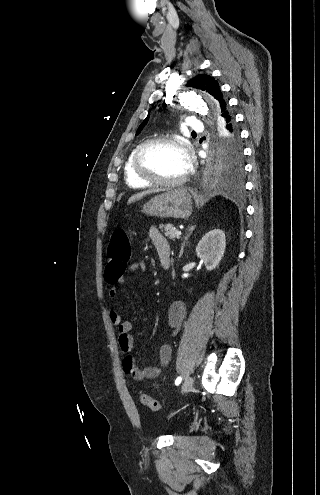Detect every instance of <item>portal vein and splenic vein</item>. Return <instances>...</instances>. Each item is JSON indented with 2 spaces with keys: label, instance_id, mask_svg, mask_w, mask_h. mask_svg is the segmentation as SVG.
Segmentation results:
<instances>
[{
  "label": "portal vein and splenic vein",
  "instance_id": "1",
  "mask_svg": "<svg viewBox=\"0 0 320 495\" xmlns=\"http://www.w3.org/2000/svg\"><path fill=\"white\" fill-rule=\"evenodd\" d=\"M181 234H182L181 231H176L177 236H180Z\"/></svg>",
  "mask_w": 320,
  "mask_h": 495
}]
</instances>
